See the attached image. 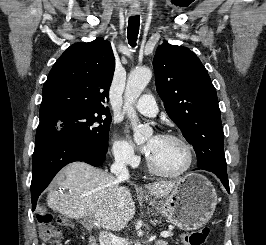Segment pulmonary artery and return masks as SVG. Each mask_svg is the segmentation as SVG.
Returning <instances> with one entry per match:
<instances>
[{
    "instance_id": "pulmonary-artery-1",
    "label": "pulmonary artery",
    "mask_w": 266,
    "mask_h": 245,
    "mask_svg": "<svg viewBox=\"0 0 266 245\" xmlns=\"http://www.w3.org/2000/svg\"><path fill=\"white\" fill-rule=\"evenodd\" d=\"M155 100L154 96H141L137 103L134 104V107L142 114L154 117L158 113V106L156 103L152 104V101Z\"/></svg>"
}]
</instances>
